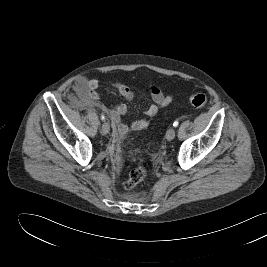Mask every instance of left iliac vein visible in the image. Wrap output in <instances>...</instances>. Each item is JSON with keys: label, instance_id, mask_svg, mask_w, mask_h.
<instances>
[{"label": "left iliac vein", "instance_id": "obj_1", "mask_svg": "<svg viewBox=\"0 0 267 267\" xmlns=\"http://www.w3.org/2000/svg\"><path fill=\"white\" fill-rule=\"evenodd\" d=\"M174 137H175V129L171 127L170 129H168L166 133V138L168 141H171L174 139Z\"/></svg>", "mask_w": 267, "mask_h": 267}]
</instances>
